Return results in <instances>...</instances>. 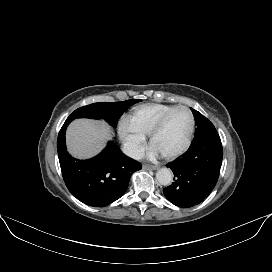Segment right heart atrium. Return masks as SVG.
<instances>
[{"label": "right heart atrium", "mask_w": 272, "mask_h": 272, "mask_svg": "<svg viewBox=\"0 0 272 272\" xmlns=\"http://www.w3.org/2000/svg\"><path fill=\"white\" fill-rule=\"evenodd\" d=\"M119 134L128 154L134 158L139 157L144 148L145 136L133 131L125 123L119 126Z\"/></svg>", "instance_id": "d8ad5b80"}]
</instances>
